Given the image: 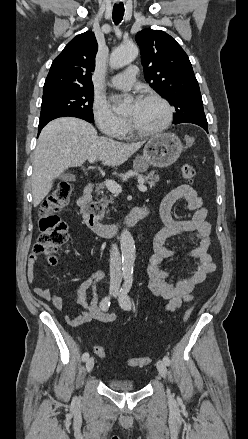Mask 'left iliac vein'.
Returning a JSON list of instances; mask_svg holds the SVG:
<instances>
[{
  "label": "left iliac vein",
  "mask_w": 248,
  "mask_h": 439,
  "mask_svg": "<svg viewBox=\"0 0 248 439\" xmlns=\"http://www.w3.org/2000/svg\"><path fill=\"white\" fill-rule=\"evenodd\" d=\"M156 366H157V370H158L159 374L163 378H166V376H167V367H166V364L164 363V361L158 360L157 363H156Z\"/></svg>",
  "instance_id": "1"
}]
</instances>
